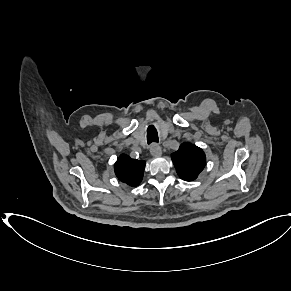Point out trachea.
<instances>
[{
  "label": "trachea",
  "mask_w": 291,
  "mask_h": 291,
  "mask_svg": "<svg viewBox=\"0 0 291 291\" xmlns=\"http://www.w3.org/2000/svg\"><path fill=\"white\" fill-rule=\"evenodd\" d=\"M159 138H158V133L157 130L154 126H149L147 129V142L148 144L152 143V142H158Z\"/></svg>",
  "instance_id": "obj_1"
}]
</instances>
